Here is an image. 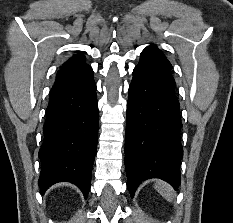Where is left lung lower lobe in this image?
<instances>
[{
  "label": "left lung lower lobe",
  "mask_w": 233,
  "mask_h": 223,
  "mask_svg": "<svg viewBox=\"0 0 233 223\" xmlns=\"http://www.w3.org/2000/svg\"><path fill=\"white\" fill-rule=\"evenodd\" d=\"M171 64L156 46L141 54L127 103L125 168L133 197L143 180L160 178L177 189L180 181V105Z\"/></svg>",
  "instance_id": "1"
}]
</instances>
